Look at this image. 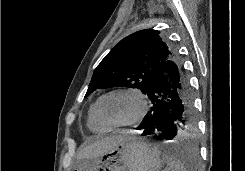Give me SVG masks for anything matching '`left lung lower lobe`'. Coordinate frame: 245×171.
I'll return each mask as SVG.
<instances>
[{
	"label": "left lung lower lobe",
	"instance_id": "left-lung-lower-lobe-1",
	"mask_svg": "<svg viewBox=\"0 0 245 171\" xmlns=\"http://www.w3.org/2000/svg\"><path fill=\"white\" fill-rule=\"evenodd\" d=\"M146 94L152 107L137 127L142 135L161 132V139L173 140L188 133L194 122L193 96L189 77L176 55L165 62ZM181 157L185 167L198 161L192 150L181 152Z\"/></svg>",
	"mask_w": 245,
	"mask_h": 171
}]
</instances>
